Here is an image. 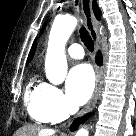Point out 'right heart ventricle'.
I'll list each match as a JSON object with an SVG mask.
<instances>
[{"mask_svg": "<svg viewBox=\"0 0 136 136\" xmlns=\"http://www.w3.org/2000/svg\"><path fill=\"white\" fill-rule=\"evenodd\" d=\"M42 91L43 84H36L32 80L25 91V104L30 116L38 122H49L52 121L44 106L42 105Z\"/></svg>", "mask_w": 136, "mask_h": 136, "instance_id": "e07e8e85", "label": "right heart ventricle"}]
</instances>
